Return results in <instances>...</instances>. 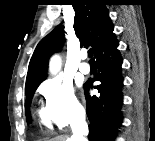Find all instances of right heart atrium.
I'll return each instance as SVG.
<instances>
[{"label": "right heart atrium", "instance_id": "d8ad5b80", "mask_svg": "<svg viewBox=\"0 0 155 141\" xmlns=\"http://www.w3.org/2000/svg\"><path fill=\"white\" fill-rule=\"evenodd\" d=\"M45 101V114L59 128L76 124L83 118V107L77 99L71 83L54 77L39 87Z\"/></svg>", "mask_w": 155, "mask_h": 141}]
</instances>
